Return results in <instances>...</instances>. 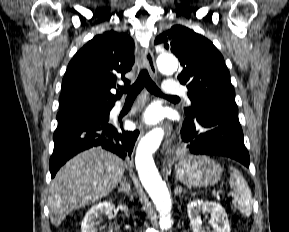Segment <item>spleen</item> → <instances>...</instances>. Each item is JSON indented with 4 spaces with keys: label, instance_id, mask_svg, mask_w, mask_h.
I'll list each match as a JSON object with an SVG mask.
<instances>
[{
    "label": "spleen",
    "instance_id": "spleen-1",
    "mask_svg": "<svg viewBox=\"0 0 289 232\" xmlns=\"http://www.w3.org/2000/svg\"><path fill=\"white\" fill-rule=\"evenodd\" d=\"M230 171V187L235 193L233 204L243 215L249 217L253 205L251 190L238 170L230 167Z\"/></svg>",
    "mask_w": 289,
    "mask_h": 232
}]
</instances>
